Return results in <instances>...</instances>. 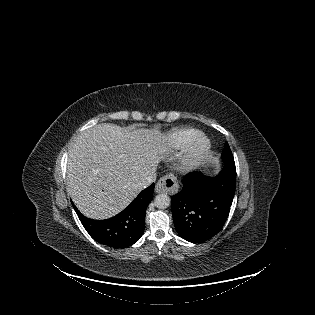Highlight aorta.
Wrapping results in <instances>:
<instances>
[{"label": "aorta", "instance_id": "obj_1", "mask_svg": "<svg viewBox=\"0 0 315 315\" xmlns=\"http://www.w3.org/2000/svg\"><path fill=\"white\" fill-rule=\"evenodd\" d=\"M154 202L157 208L166 209L170 205V197L167 194H158Z\"/></svg>", "mask_w": 315, "mask_h": 315}]
</instances>
